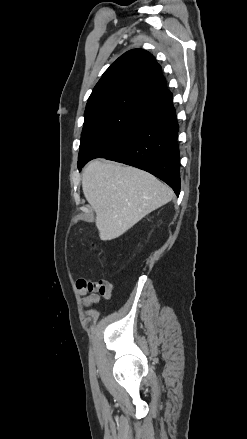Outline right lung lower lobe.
Segmentation results:
<instances>
[{
  "instance_id": "98d812e1",
  "label": "right lung lower lobe",
  "mask_w": 247,
  "mask_h": 439,
  "mask_svg": "<svg viewBox=\"0 0 247 439\" xmlns=\"http://www.w3.org/2000/svg\"><path fill=\"white\" fill-rule=\"evenodd\" d=\"M178 128L175 109L170 102L101 157L143 169L166 182L179 196Z\"/></svg>"
}]
</instances>
